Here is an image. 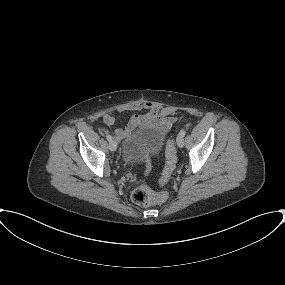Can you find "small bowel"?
Returning a JSON list of instances; mask_svg holds the SVG:
<instances>
[{
	"label": "small bowel",
	"instance_id": "1",
	"mask_svg": "<svg viewBox=\"0 0 285 285\" xmlns=\"http://www.w3.org/2000/svg\"><path fill=\"white\" fill-rule=\"evenodd\" d=\"M143 110V114H134L131 116L127 124L123 127H117L114 130V136L117 140H121L130 135L137 126H154L167 132L171 129L175 119L173 117L162 116L159 113L157 105L150 102H136L121 104L116 108V112L122 113L126 111H139ZM103 123L112 127L116 123V116L114 112H107L102 117Z\"/></svg>",
	"mask_w": 285,
	"mask_h": 285
}]
</instances>
